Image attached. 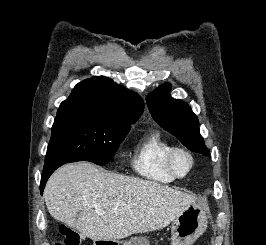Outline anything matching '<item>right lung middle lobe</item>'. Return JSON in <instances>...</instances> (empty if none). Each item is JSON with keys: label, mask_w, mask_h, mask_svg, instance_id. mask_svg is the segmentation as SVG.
Here are the masks:
<instances>
[{"label": "right lung middle lobe", "mask_w": 266, "mask_h": 245, "mask_svg": "<svg viewBox=\"0 0 266 245\" xmlns=\"http://www.w3.org/2000/svg\"><path fill=\"white\" fill-rule=\"evenodd\" d=\"M130 125L94 113L57 116L44 168L76 161L105 165L128 134Z\"/></svg>", "instance_id": "right-lung-middle-lobe-1"}]
</instances>
